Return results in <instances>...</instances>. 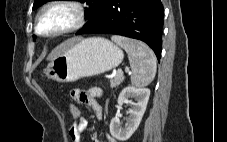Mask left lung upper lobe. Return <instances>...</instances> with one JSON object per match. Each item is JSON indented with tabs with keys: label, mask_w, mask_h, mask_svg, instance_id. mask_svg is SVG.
<instances>
[{
	"label": "left lung upper lobe",
	"mask_w": 227,
	"mask_h": 142,
	"mask_svg": "<svg viewBox=\"0 0 227 142\" xmlns=\"http://www.w3.org/2000/svg\"><path fill=\"white\" fill-rule=\"evenodd\" d=\"M49 0H35L33 9L41 6L42 4L46 3ZM82 3H86L88 8L85 9V17L90 22L98 12V10L103 6L106 0H81Z\"/></svg>",
	"instance_id": "1"
}]
</instances>
